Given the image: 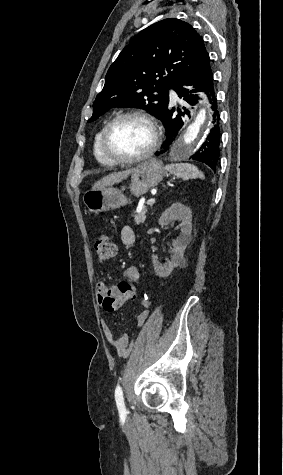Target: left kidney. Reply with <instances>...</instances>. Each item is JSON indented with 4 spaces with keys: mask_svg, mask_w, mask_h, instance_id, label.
I'll use <instances>...</instances> for the list:
<instances>
[{
    "mask_svg": "<svg viewBox=\"0 0 283 475\" xmlns=\"http://www.w3.org/2000/svg\"><path fill=\"white\" fill-rule=\"evenodd\" d=\"M174 220H180L181 224L179 228L180 236L178 238L173 239L172 245V253L170 261H166V263H161L156 255H152V261L154 263V269L156 271V275L159 277H167L170 275L172 269L174 267H178L180 265L183 255L184 249H186L188 243H190L192 236V212L188 206H183L180 202H176V204H172L170 208H167L165 212H163L159 224L160 226H168L170 222H174Z\"/></svg>",
    "mask_w": 283,
    "mask_h": 475,
    "instance_id": "1",
    "label": "left kidney"
}]
</instances>
